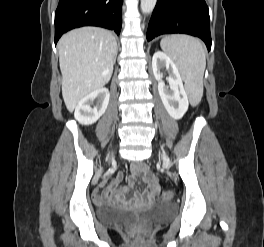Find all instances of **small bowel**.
I'll return each mask as SVG.
<instances>
[{"mask_svg":"<svg viewBox=\"0 0 264 247\" xmlns=\"http://www.w3.org/2000/svg\"><path fill=\"white\" fill-rule=\"evenodd\" d=\"M131 187H133L139 180H142L147 188L143 195L136 191L134 200L136 202L145 200L151 201L158 193V184L155 176L148 169V166L143 162H135L131 164ZM123 175L120 173L117 177L110 183V185L102 190L98 189L95 191L94 198L97 202L110 201L113 203L121 204L125 202L127 189L122 191H117L118 184L122 181Z\"/></svg>","mask_w":264,"mask_h":247,"instance_id":"small-bowel-1","label":"small bowel"}]
</instances>
